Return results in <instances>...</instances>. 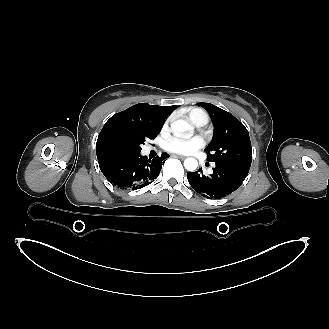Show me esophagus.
<instances>
[{
    "mask_svg": "<svg viewBox=\"0 0 329 329\" xmlns=\"http://www.w3.org/2000/svg\"><path fill=\"white\" fill-rule=\"evenodd\" d=\"M173 157L180 158V159H185V156H182V155H173Z\"/></svg>",
    "mask_w": 329,
    "mask_h": 329,
    "instance_id": "34e87169",
    "label": "esophagus"
}]
</instances>
